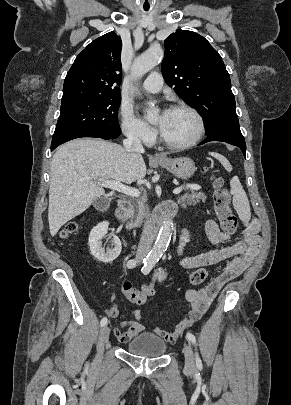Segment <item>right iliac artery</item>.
<instances>
[{
	"label": "right iliac artery",
	"instance_id": "1",
	"mask_svg": "<svg viewBox=\"0 0 291 405\" xmlns=\"http://www.w3.org/2000/svg\"><path fill=\"white\" fill-rule=\"evenodd\" d=\"M145 263H147L146 260L143 261V264H145ZM136 265H137V261L134 260V259L129 260V261L127 262V267H128L129 269H132V268L136 267ZM106 324H107V318L104 317V318L101 319L100 325H101V327H103V326H105Z\"/></svg>",
	"mask_w": 291,
	"mask_h": 405
}]
</instances>
